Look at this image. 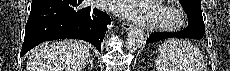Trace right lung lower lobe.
Masks as SVG:
<instances>
[{
  "label": "right lung lower lobe",
  "instance_id": "right-lung-lower-lobe-1",
  "mask_svg": "<svg viewBox=\"0 0 230 71\" xmlns=\"http://www.w3.org/2000/svg\"><path fill=\"white\" fill-rule=\"evenodd\" d=\"M83 0H33L25 26L21 56L36 45L56 39L73 38L101 49L110 17Z\"/></svg>",
  "mask_w": 230,
  "mask_h": 71
}]
</instances>
